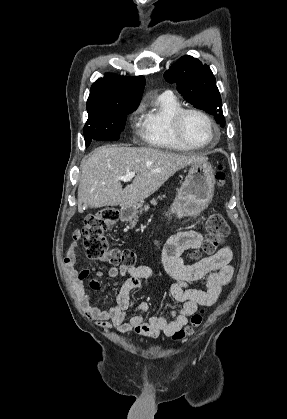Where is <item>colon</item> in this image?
<instances>
[{
    "label": "colon",
    "instance_id": "obj_1",
    "mask_svg": "<svg viewBox=\"0 0 287 419\" xmlns=\"http://www.w3.org/2000/svg\"><path fill=\"white\" fill-rule=\"evenodd\" d=\"M217 180L223 183L225 174L220 169L217 172ZM118 212L112 207L103 208L94 214L89 215L85 221V227L80 232V239L86 249L89 258L107 261L111 264H121L133 267L136 262L135 254L128 249L112 247L106 234L117 224ZM207 240L203 244V252L206 255L215 254L221 249L222 244L228 237L230 228L220 213H212L206 221ZM201 256L195 252L193 257L198 259ZM204 311L201 310L191 317L190 324L184 329L176 331L172 337L181 341L191 336L203 321Z\"/></svg>",
    "mask_w": 287,
    "mask_h": 419
}]
</instances>
